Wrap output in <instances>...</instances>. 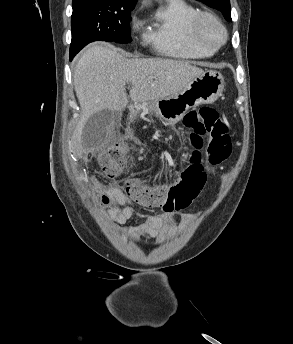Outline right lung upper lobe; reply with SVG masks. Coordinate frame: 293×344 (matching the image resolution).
I'll return each mask as SVG.
<instances>
[{"label":"right lung upper lobe","mask_w":293,"mask_h":344,"mask_svg":"<svg viewBox=\"0 0 293 344\" xmlns=\"http://www.w3.org/2000/svg\"><path fill=\"white\" fill-rule=\"evenodd\" d=\"M83 0H73L72 4L79 3ZM96 1H103V2H109V3H119V4H133L135 5L137 0H96Z\"/></svg>","instance_id":"cb5924a9"}]
</instances>
